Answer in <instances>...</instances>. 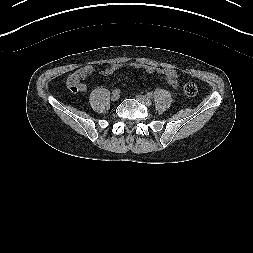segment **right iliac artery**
I'll return each instance as SVG.
<instances>
[{
	"label": "right iliac artery",
	"mask_w": 253,
	"mask_h": 253,
	"mask_svg": "<svg viewBox=\"0 0 253 253\" xmlns=\"http://www.w3.org/2000/svg\"><path fill=\"white\" fill-rule=\"evenodd\" d=\"M113 94H119L120 93V89H115V90H113V92H112Z\"/></svg>",
	"instance_id": "obj_1"
}]
</instances>
